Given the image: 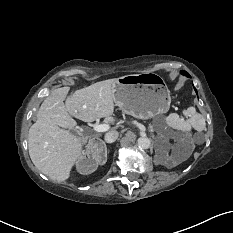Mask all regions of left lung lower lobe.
Returning a JSON list of instances; mask_svg holds the SVG:
<instances>
[{"mask_svg": "<svg viewBox=\"0 0 233 233\" xmlns=\"http://www.w3.org/2000/svg\"><path fill=\"white\" fill-rule=\"evenodd\" d=\"M181 73H182L183 75L187 76V77H190V75H189L187 72H185V71H182ZM195 91H196V89H195Z\"/></svg>", "mask_w": 233, "mask_h": 233, "instance_id": "0a47b994", "label": "left lung lower lobe"}]
</instances>
